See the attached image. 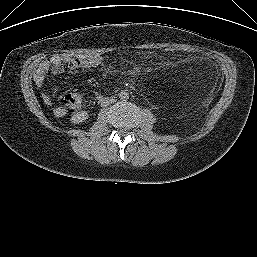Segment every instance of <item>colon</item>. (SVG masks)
Wrapping results in <instances>:
<instances>
[{"label":"colon","mask_w":257,"mask_h":257,"mask_svg":"<svg viewBox=\"0 0 257 257\" xmlns=\"http://www.w3.org/2000/svg\"><path fill=\"white\" fill-rule=\"evenodd\" d=\"M169 53H177L178 50L172 47L166 49ZM64 105L71 111L75 112L80 109L82 105V96L77 93L67 94L63 99Z\"/></svg>","instance_id":"5ec220e1"}]
</instances>
